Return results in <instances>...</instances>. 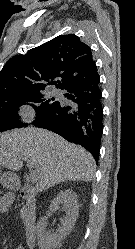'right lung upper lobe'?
Here are the masks:
<instances>
[{"instance_id": "cb5924a9", "label": "right lung upper lobe", "mask_w": 135, "mask_h": 249, "mask_svg": "<svg viewBox=\"0 0 135 249\" xmlns=\"http://www.w3.org/2000/svg\"><path fill=\"white\" fill-rule=\"evenodd\" d=\"M97 74L91 48L74 34L60 35L8 60L0 71V99L44 90V81L67 89Z\"/></svg>"}]
</instances>
